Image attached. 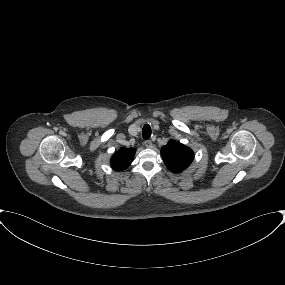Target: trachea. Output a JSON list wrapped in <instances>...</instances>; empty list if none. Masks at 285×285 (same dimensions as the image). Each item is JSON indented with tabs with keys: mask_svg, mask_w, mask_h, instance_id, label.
Here are the masks:
<instances>
[{
	"mask_svg": "<svg viewBox=\"0 0 285 285\" xmlns=\"http://www.w3.org/2000/svg\"><path fill=\"white\" fill-rule=\"evenodd\" d=\"M151 136V127L148 124H145L142 129V137L144 139H149Z\"/></svg>",
	"mask_w": 285,
	"mask_h": 285,
	"instance_id": "3493384b",
	"label": "trachea"
}]
</instances>
